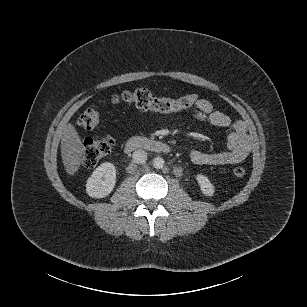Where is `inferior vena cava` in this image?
<instances>
[{
	"label": "inferior vena cava",
	"instance_id": "1",
	"mask_svg": "<svg viewBox=\"0 0 307 307\" xmlns=\"http://www.w3.org/2000/svg\"><path fill=\"white\" fill-rule=\"evenodd\" d=\"M132 160L134 163L143 164L147 160V153L142 149H138L134 151L132 155Z\"/></svg>",
	"mask_w": 307,
	"mask_h": 307
}]
</instances>
